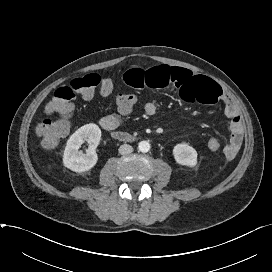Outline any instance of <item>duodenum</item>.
Instances as JSON below:
<instances>
[{
	"label": "duodenum",
	"instance_id": "1",
	"mask_svg": "<svg viewBox=\"0 0 272 272\" xmlns=\"http://www.w3.org/2000/svg\"><path fill=\"white\" fill-rule=\"evenodd\" d=\"M112 137L114 139L123 141V142H131L134 140V137L126 132L116 131L112 133Z\"/></svg>",
	"mask_w": 272,
	"mask_h": 272
}]
</instances>
